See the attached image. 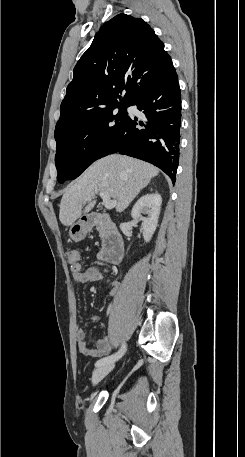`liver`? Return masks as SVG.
<instances>
[{"mask_svg": "<svg viewBox=\"0 0 245 457\" xmlns=\"http://www.w3.org/2000/svg\"><path fill=\"white\" fill-rule=\"evenodd\" d=\"M158 172L157 166L125 154H109L99 158L64 192L59 210L62 224L70 226L82 216V212H89L96 200H91L84 210L83 204L86 198H96L97 192H107L116 198V210L122 212Z\"/></svg>", "mask_w": 245, "mask_h": 457, "instance_id": "6515ba94", "label": "liver"}]
</instances>
